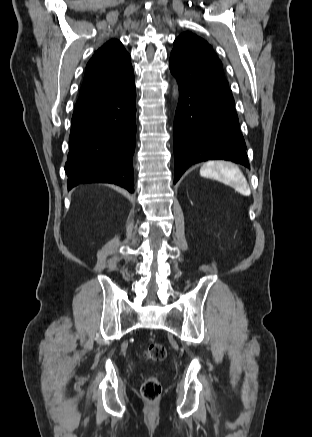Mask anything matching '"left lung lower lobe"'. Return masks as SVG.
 <instances>
[{"mask_svg": "<svg viewBox=\"0 0 312 437\" xmlns=\"http://www.w3.org/2000/svg\"><path fill=\"white\" fill-rule=\"evenodd\" d=\"M169 66L179 84L173 125L174 184L189 166L202 161L224 159L249 168L229 87L177 55H170Z\"/></svg>", "mask_w": 312, "mask_h": 437, "instance_id": "0a47b994", "label": "left lung lower lobe"}]
</instances>
